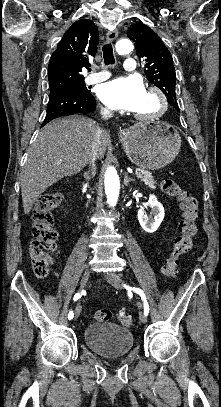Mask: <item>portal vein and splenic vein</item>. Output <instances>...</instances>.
Wrapping results in <instances>:
<instances>
[{"instance_id":"18ae733b","label":"portal vein and splenic vein","mask_w":221,"mask_h":407,"mask_svg":"<svg viewBox=\"0 0 221 407\" xmlns=\"http://www.w3.org/2000/svg\"><path fill=\"white\" fill-rule=\"evenodd\" d=\"M135 174L137 175V177L140 175V173H139V172H137V171H136V173H135Z\"/></svg>"}]
</instances>
